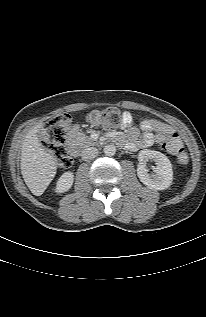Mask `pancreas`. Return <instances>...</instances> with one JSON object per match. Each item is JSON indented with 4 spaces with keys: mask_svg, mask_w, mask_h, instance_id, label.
<instances>
[{
    "mask_svg": "<svg viewBox=\"0 0 206 317\" xmlns=\"http://www.w3.org/2000/svg\"><path fill=\"white\" fill-rule=\"evenodd\" d=\"M75 141L80 145H91L93 143L88 136L80 132L75 135Z\"/></svg>",
    "mask_w": 206,
    "mask_h": 317,
    "instance_id": "pancreas-1",
    "label": "pancreas"
}]
</instances>
